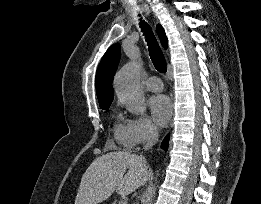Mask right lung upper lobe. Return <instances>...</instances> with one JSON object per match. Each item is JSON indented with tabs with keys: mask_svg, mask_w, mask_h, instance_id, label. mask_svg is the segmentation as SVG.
I'll return each mask as SVG.
<instances>
[{
	"mask_svg": "<svg viewBox=\"0 0 261 204\" xmlns=\"http://www.w3.org/2000/svg\"><path fill=\"white\" fill-rule=\"evenodd\" d=\"M157 33L163 47L167 48L168 40L161 25L157 26ZM120 51L121 47L119 43L110 46L98 66L95 82L99 105L107 102H112L113 100L114 93L112 82L119 64L121 55Z\"/></svg>",
	"mask_w": 261,
	"mask_h": 204,
	"instance_id": "1",
	"label": "right lung upper lobe"
}]
</instances>
